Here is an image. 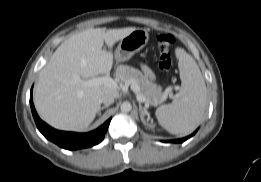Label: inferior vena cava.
Returning a JSON list of instances; mask_svg holds the SVG:
<instances>
[{
    "mask_svg": "<svg viewBox=\"0 0 261 182\" xmlns=\"http://www.w3.org/2000/svg\"><path fill=\"white\" fill-rule=\"evenodd\" d=\"M115 97L111 94H105L101 97V103L105 105H111L114 102Z\"/></svg>",
    "mask_w": 261,
    "mask_h": 182,
    "instance_id": "1",
    "label": "inferior vena cava"
}]
</instances>
